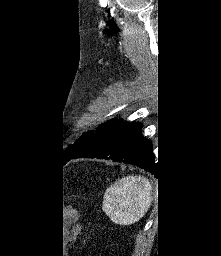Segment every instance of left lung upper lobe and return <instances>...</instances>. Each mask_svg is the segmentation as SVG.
<instances>
[{
	"label": "left lung upper lobe",
	"instance_id": "5c2ea615",
	"mask_svg": "<svg viewBox=\"0 0 221 256\" xmlns=\"http://www.w3.org/2000/svg\"><path fill=\"white\" fill-rule=\"evenodd\" d=\"M94 133V131L92 132H88V133H84L79 139H77L72 145H69L68 147H66L62 159L64 161H68L69 158L76 152V150L81 146V144L87 139L89 138L92 134Z\"/></svg>",
	"mask_w": 221,
	"mask_h": 256
}]
</instances>
